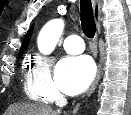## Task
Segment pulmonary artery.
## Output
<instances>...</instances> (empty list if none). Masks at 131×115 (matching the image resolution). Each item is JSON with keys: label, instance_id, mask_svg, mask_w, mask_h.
<instances>
[{"label": "pulmonary artery", "instance_id": "obj_1", "mask_svg": "<svg viewBox=\"0 0 131 115\" xmlns=\"http://www.w3.org/2000/svg\"><path fill=\"white\" fill-rule=\"evenodd\" d=\"M64 48L69 54H79L84 51V43L78 35H69L64 40Z\"/></svg>", "mask_w": 131, "mask_h": 115}]
</instances>
